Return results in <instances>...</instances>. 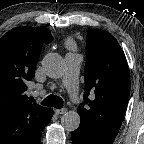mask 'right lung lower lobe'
Masks as SVG:
<instances>
[{"label": "right lung lower lobe", "mask_w": 144, "mask_h": 144, "mask_svg": "<svg viewBox=\"0 0 144 144\" xmlns=\"http://www.w3.org/2000/svg\"><path fill=\"white\" fill-rule=\"evenodd\" d=\"M52 115H53V113H52ZM52 115H51V118H52ZM51 118L49 119V121L51 120ZM49 121H48V123H49ZM47 123V124H48ZM46 124V125H47ZM45 125V126H46ZM44 126V127H45ZM44 129V128H43ZM43 129L38 133V135L36 136V138L33 140V142L31 143V144H40V142H41V134H42V131H43Z\"/></svg>", "instance_id": "obj_1"}]
</instances>
